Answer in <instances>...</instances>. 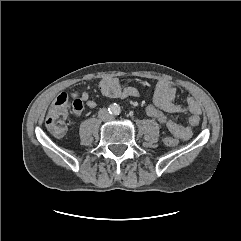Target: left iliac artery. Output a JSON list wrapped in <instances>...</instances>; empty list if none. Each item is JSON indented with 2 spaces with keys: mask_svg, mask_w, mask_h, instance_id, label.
Returning <instances> with one entry per match:
<instances>
[{
  "mask_svg": "<svg viewBox=\"0 0 241 241\" xmlns=\"http://www.w3.org/2000/svg\"><path fill=\"white\" fill-rule=\"evenodd\" d=\"M119 113H120V108H117L116 114H119Z\"/></svg>",
  "mask_w": 241,
  "mask_h": 241,
  "instance_id": "44dca946",
  "label": "left iliac artery"
}]
</instances>
